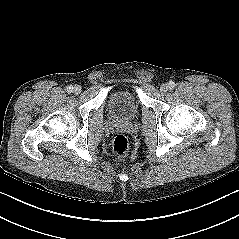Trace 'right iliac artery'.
<instances>
[{
	"mask_svg": "<svg viewBox=\"0 0 239 239\" xmlns=\"http://www.w3.org/2000/svg\"><path fill=\"white\" fill-rule=\"evenodd\" d=\"M67 92H68V93L73 92V86H72V85H70V86L67 87Z\"/></svg>",
	"mask_w": 239,
	"mask_h": 239,
	"instance_id": "1",
	"label": "right iliac artery"
}]
</instances>
